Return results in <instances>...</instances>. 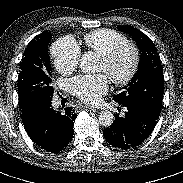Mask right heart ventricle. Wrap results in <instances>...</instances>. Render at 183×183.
I'll use <instances>...</instances> for the list:
<instances>
[{"mask_svg": "<svg viewBox=\"0 0 183 183\" xmlns=\"http://www.w3.org/2000/svg\"><path fill=\"white\" fill-rule=\"evenodd\" d=\"M127 38L111 29H97L84 36V43L88 49L103 55L114 47L126 43Z\"/></svg>", "mask_w": 183, "mask_h": 183, "instance_id": "e07e8e85", "label": "right heart ventricle"}]
</instances>
